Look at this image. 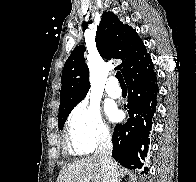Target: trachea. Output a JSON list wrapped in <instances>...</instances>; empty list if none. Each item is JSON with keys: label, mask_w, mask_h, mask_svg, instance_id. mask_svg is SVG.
Wrapping results in <instances>:
<instances>
[{"label": "trachea", "mask_w": 196, "mask_h": 182, "mask_svg": "<svg viewBox=\"0 0 196 182\" xmlns=\"http://www.w3.org/2000/svg\"><path fill=\"white\" fill-rule=\"evenodd\" d=\"M116 78L118 79L120 85H125V81L120 71L116 73Z\"/></svg>", "instance_id": "obj_1"}]
</instances>
